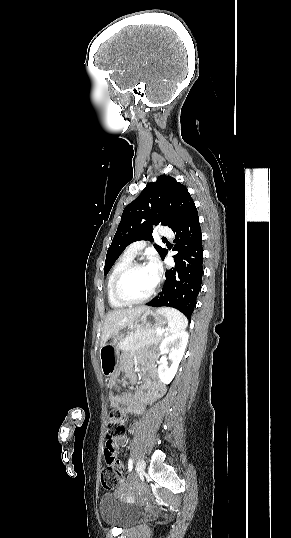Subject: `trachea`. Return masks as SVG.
Masks as SVG:
<instances>
[{
  "label": "trachea",
  "mask_w": 291,
  "mask_h": 538,
  "mask_svg": "<svg viewBox=\"0 0 291 538\" xmlns=\"http://www.w3.org/2000/svg\"><path fill=\"white\" fill-rule=\"evenodd\" d=\"M163 241H167V239L163 238Z\"/></svg>",
  "instance_id": "obj_1"
}]
</instances>
